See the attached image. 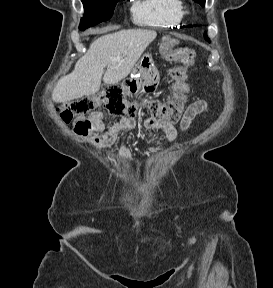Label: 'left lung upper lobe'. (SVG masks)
Here are the masks:
<instances>
[{"label": "left lung upper lobe", "mask_w": 273, "mask_h": 288, "mask_svg": "<svg viewBox=\"0 0 273 288\" xmlns=\"http://www.w3.org/2000/svg\"><path fill=\"white\" fill-rule=\"evenodd\" d=\"M195 2L199 3L202 7L205 6V0H194ZM204 37L207 41H209V38L207 37V34L204 33Z\"/></svg>", "instance_id": "obj_1"}]
</instances>
